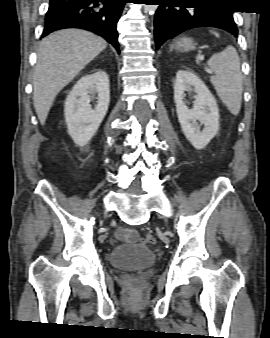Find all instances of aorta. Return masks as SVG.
<instances>
[{
  "label": "aorta",
  "instance_id": "aorta-1",
  "mask_svg": "<svg viewBox=\"0 0 270 338\" xmlns=\"http://www.w3.org/2000/svg\"><path fill=\"white\" fill-rule=\"evenodd\" d=\"M157 9V5H149V4H146L144 6V10L145 12H148L150 14L154 13Z\"/></svg>",
  "mask_w": 270,
  "mask_h": 338
}]
</instances>
